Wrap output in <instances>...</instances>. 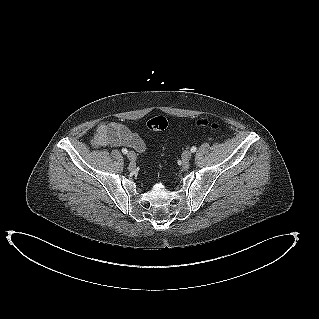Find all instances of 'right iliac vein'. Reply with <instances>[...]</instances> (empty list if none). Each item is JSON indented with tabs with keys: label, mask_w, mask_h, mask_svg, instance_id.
<instances>
[{
	"label": "right iliac vein",
	"mask_w": 319,
	"mask_h": 319,
	"mask_svg": "<svg viewBox=\"0 0 319 319\" xmlns=\"http://www.w3.org/2000/svg\"><path fill=\"white\" fill-rule=\"evenodd\" d=\"M127 157L130 161H135L137 158L135 152H133V151H129L127 154Z\"/></svg>",
	"instance_id": "1"
}]
</instances>
